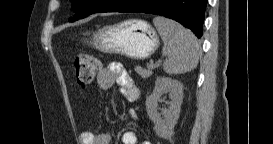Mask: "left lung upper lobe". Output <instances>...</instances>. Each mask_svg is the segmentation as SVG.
Masks as SVG:
<instances>
[{"mask_svg":"<svg viewBox=\"0 0 273 144\" xmlns=\"http://www.w3.org/2000/svg\"><path fill=\"white\" fill-rule=\"evenodd\" d=\"M102 0H72L73 10L76 13L74 17L69 20H78L94 13L100 7Z\"/></svg>","mask_w":273,"mask_h":144,"instance_id":"left-lung-upper-lobe-1","label":"left lung upper lobe"}]
</instances>
